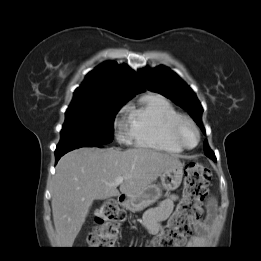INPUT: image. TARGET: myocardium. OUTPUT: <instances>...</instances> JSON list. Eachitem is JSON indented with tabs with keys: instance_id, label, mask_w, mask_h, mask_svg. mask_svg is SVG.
<instances>
[{
	"instance_id": "obj_1",
	"label": "myocardium",
	"mask_w": 261,
	"mask_h": 261,
	"mask_svg": "<svg viewBox=\"0 0 261 261\" xmlns=\"http://www.w3.org/2000/svg\"><path fill=\"white\" fill-rule=\"evenodd\" d=\"M190 128L194 131L196 135V142L194 145L190 146L185 142L184 130ZM173 137L176 143L183 149L192 150L196 148L200 142V132L196 124L188 117L181 116L173 126Z\"/></svg>"
}]
</instances>
